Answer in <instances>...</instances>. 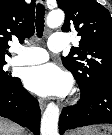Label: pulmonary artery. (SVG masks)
<instances>
[{"instance_id": "1", "label": "pulmonary artery", "mask_w": 112, "mask_h": 135, "mask_svg": "<svg viewBox=\"0 0 112 135\" xmlns=\"http://www.w3.org/2000/svg\"><path fill=\"white\" fill-rule=\"evenodd\" d=\"M47 46L50 51H62L66 46L65 35L59 33L51 35ZM15 53L17 55L12 60L15 65H33L48 60L47 51L38 47L17 46Z\"/></svg>"}]
</instances>
